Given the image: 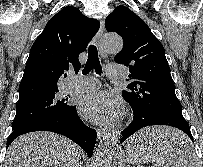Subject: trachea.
I'll return each mask as SVG.
<instances>
[{
  "label": "trachea",
  "mask_w": 203,
  "mask_h": 167,
  "mask_svg": "<svg viewBox=\"0 0 203 167\" xmlns=\"http://www.w3.org/2000/svg\"><path fill=\"white\" fill-rule=\"evenodd\" d=\"M92 69H94L95 72L99 75L102 73V67L98 58V51L94 45H90L88 48V59L82 73L86 75Z\"/></svg>",
  "instance_id": "3493384b"
}]
</instances>
